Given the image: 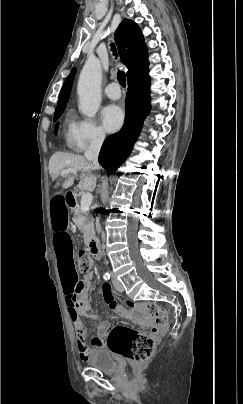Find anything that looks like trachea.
Here are the masks:
<instances>
[{"instance_id": "obj_1", "label": "trachea", "mask_w": 243, "mask_h": 404, "mask_svg": "<svg viewBox=\"0 0 243 404\" xmlns=\"http://www.w3.org/2000/svg\"><path fill=\"white\" fill-rule=\"evenodd\" d=\"M112 51L116 52V49L114 48L113 44H112ZM117 80H118V82L120 83V85L122 87H124V88L126 87V75H125V72L118 71Z\"/></svg>"}]
</instances>
